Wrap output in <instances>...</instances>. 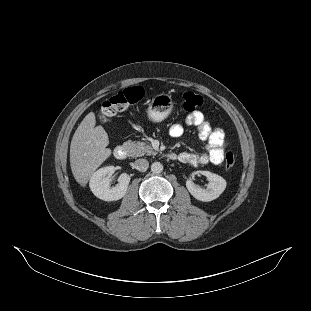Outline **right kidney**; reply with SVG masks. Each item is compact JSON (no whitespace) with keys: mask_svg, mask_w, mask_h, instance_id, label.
Segmentation results:
<instances>
[{"mask_svg":"<svg viewBox=\"0 0 311 311\" xmlns=\"http://www.w3.org/2000/svg\"><path fill=\"white\" fill-rule=\"evenodd\" d=\"M115 172L114 166H106L94 172L90 178L89 187L93 194L104 201H115L125 196L130 182L126 173L120 175L118 184L110 188V176Z\"/></svg>","mask_w":311,"mask_h":311,"instance_id":"obj_1","label":"right kidney"}]
</instances>
